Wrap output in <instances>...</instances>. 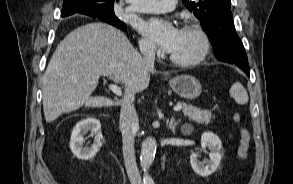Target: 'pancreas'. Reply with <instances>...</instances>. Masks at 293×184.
Listing matches in <instances>:
<instances>
[{"instance_id":"obj_1","label":"pancreas","mask_w":293,"mask_h":184,"mask_svg":"<svg viewBox=\"0 0 293 184\" xmlns=\"http://www.w3.org/2000/svg\"><path fill=\"white\" fill-rule=\"evenodd\" d=\"M178 105L182 106L183 114L196 123L208 124L210 123L211 119L214 118V116H212L211 111L209 110H202L193 105L182 102H178Z\"/></svg>"}]
</instances>
